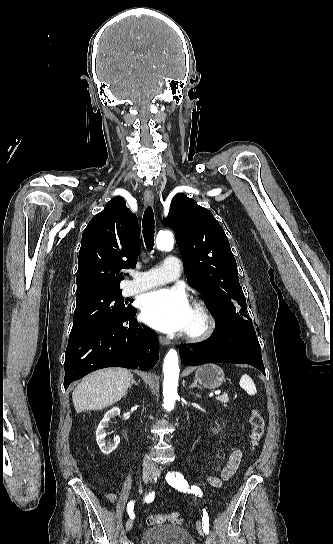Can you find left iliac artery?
Masks as SVG:
<instances>
[{
    "mask_svg": "<svg viewBox=\"0 0 333 544\" xmlns=\"http://www.w3.org/2000/svg\"><path fill=\"white\" fill-rule=\"evenodd\" d=\"M166 481L169 485L178 489L179 491L193 493L200 497L203 494L199 487L197 486L189 487L188 482L185 480L184 476L179 472H168L166 475ZM202 526H203V531L206 534H208L209 533V516L205 509L203 510V515H202Z\"/></svg>",
    "mask_w": 333,
    "mask_h": 544,
    "instance_id": "left-iliac-artery-1",
    "label": "left iliac artery"
}]
</instances>
